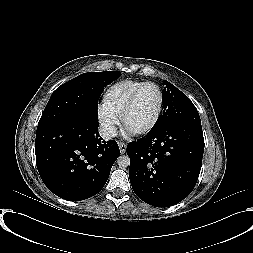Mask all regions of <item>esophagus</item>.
<instances>
[{
  "mask_svg": "<svg viewBox=\"0 0 253 253\" xmlns=\"http://www.w3.org/2000/svg\"><path fill=\"white\" fill-rule=\"evenodd\" d=\"M118 146H119L121 154L126 153V148H127L126 143H124V142H118Z\"/></svg>",
  "mask_w": 253,
  "mask_h": 253,
  "instance_id": "obj_1",
  "label": "esophagus"
}]
</instances>
